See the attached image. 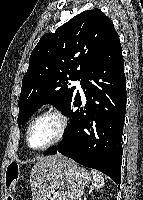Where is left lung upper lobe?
Here are the masks:
<instances>
[{
    "label": "left lung upper lobe",
    "instance_id": "5c2ea615",
    "mask_svg": "<svg viewBox=\"0 0 143 200\" xmlns=\"http://www.w3.org/2000/svg\"><path fill=\"white\" fill-rule=\"evenodd\" d=\"M117 35L113 22L99 9L84 11L55 33L43 35L22 80L18 125L46 103L70 117L75 87L69 80H79Z\"/></svg>",
    "mask_w": 143,
    "mask_h": 200
}]
</instances>
